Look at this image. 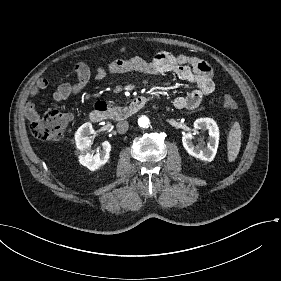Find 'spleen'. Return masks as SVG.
Listing matches in <instances>:
<instances>
[{
    "label": "spleen",
    "mask_w": 281,
    "mask_h": 281,
    "mask_svg": "<svg viewBox=\"0 0 281 281\" xmlns=\"http://www.w3.org/2000/svg\"><path fill=\"white\" fill-rule=\"evenodd\" d=\"M242 140V128L238 121H234L227 135V158L233 163L240 152Z\"/></svg>",
    "instance_id": "3e777b00"
}]
</instances>
